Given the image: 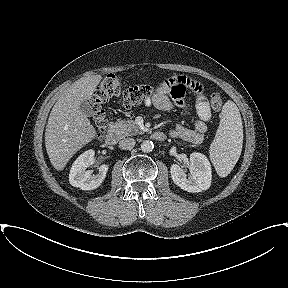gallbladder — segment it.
<instances>
[{"label":"gallbladder","instance_id":"1","mask_svg":"<svg viewBox=\"0 0 288 288\" xmlns=\"http://www.w3.org/2000/svg\"><path fill=\"white\" fill-rule=\"evenodd\" d=\"M81 111L88 117L92 116L93 108L88 101H83L80 106Z\"/></svg>","mask_w":288,"mask_h":288}]
</instances>
